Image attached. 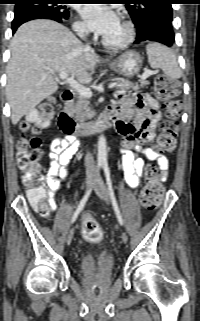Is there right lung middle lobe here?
<instances>
[{"label":"right lung middle lobe","mask_w":200,"mask_h":321,"mask_svg":"<svg viewBox=\"0 0 200 321\" xmlns=\"http://www.w3.org/2000/svg\"><path fill=\"white\" fill-rule=\"evenodd\" d=\"M69 0H23L16 4L15 13L24 10H44L68 20L70 13L67 7Z\"/></svg>","instance_id":"right-lung-middle-lobe-1"}]
</instances>
